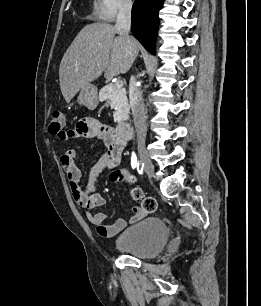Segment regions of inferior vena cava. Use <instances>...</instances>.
<instances>
[{"label":"inferior vena cava","instance_id":"602c4592","mask_svg":"<svg viewBox=\"0 0 261 306\" xmlns=\"http://www.w3.org/2000/svg\"><path fill=\"white\" fill-rule=\"evenodd\" d=\"M131 7V2L128 0L123 1L120 4L116 24L114 26L115 31L119 35L125 36L127 38H129V32L131 28ZM129 99L136 132L139 135L145 136L146 128L144 102L134 76H131L129 81Z\"/></svg>","mask_w":261,"mask_h":306}]
</instances>
